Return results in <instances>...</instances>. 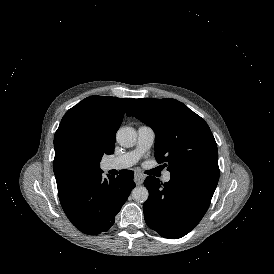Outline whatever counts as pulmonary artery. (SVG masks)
I'll use <instances>...</instances> for the list:
<instances>
[{
    "mask_svg": "<svg viewBox=\"0 0 274 274\" xmlns=\"http://www.w3.org/2000/svg\"><path fill=\"white\" fill-rule=\"evenodd\" d=\"M138 138L136 147L123 154L122 156L115 157L105 162L106 170H123L135 165L140 158L150 150L153 145L155 134L153 130L148 126H141L137 131ZM171 175L166 172L163 175V181L169 182Z\"/></svg>",
    "mask_w": 274,
    "mask_h": 274,
    "instance_id": "pulmonary-artery-1",
    "label": "pulmonary artery"
}]
</instances>
